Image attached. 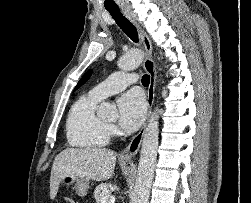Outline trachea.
<instances>
[{
    "label": "trachea",
    "mask_w": 251,
    "mask_h": 203,
    "mask_svg": "<svg viewBox=\"0 0 251 203\" xmlns=\"http://www.w3.org/2000/svg\"><path fill=\"white\" fill-rule=\"evenodd\" d=\"M111 16L114 18L118 26L123 32L134 42H138V33L135 26L120 12V10H108ZM150 83V76L143 75L142 84L148 86Z\"/></svg>",
    "instance_id": "1"
}]
</instances>
